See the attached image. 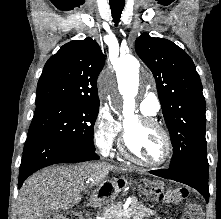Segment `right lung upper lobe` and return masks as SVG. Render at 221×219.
Segmentation results:
<instances>
[{
    "label": "right lung upper lobe",
    "mask_w": 221,
    "mask_h": 219,
    "mask_svg": "<svg viewBox=\"0 0 221 219\" xmlns=\"http://www.w3.org/2000/svg\"><path fill=\"white\" fill-rule=\"evenodd\" d=\"M104 64V54L91 38L63 45L44 66L37 85L36 103H99L97 78Z\"/></svg>",
    "instance_id": "1"
}]
</instances>
